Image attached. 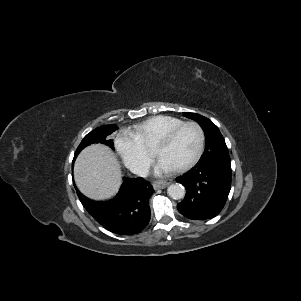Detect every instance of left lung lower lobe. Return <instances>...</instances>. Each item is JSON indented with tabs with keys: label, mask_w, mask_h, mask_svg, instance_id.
I'll return each mask as SVG.
<instances>
[{
	"label": "left lung lower lobe",
	"mask_w": 301,
	"mask_h": 301,
	"mask_svg": "<svg viewBox=\"0 0 301 301\" xmlns=\"http://www.w3.org/2000/svg\"><path fill=\"white\" fill-rule=\"evenodd\" d=\"M176 181L186 188V195L177 204L178 211L192 220H206L223 209L231 189V164L209 162L196 164Z\"/></svg>",
	"instance_id": "left-lung-lower-lobe-1"
}]
</instances>
